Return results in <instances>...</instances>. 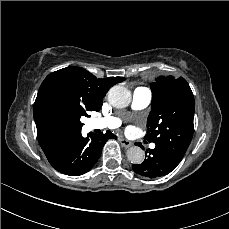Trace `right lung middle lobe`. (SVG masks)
Returning a JSON list of instances; mask_svg holds the SVG:
<instances>
[{"label":"right lung middle lobe","mask_w":229,"mask_h":229,"mask_svg":"<svg viewBox=\"0 0 229 229\" xmlns=\"http://www.w3.org/2000/svg\"><path fill=\"white\" fill-rule=\"evenodd\" d=\"M87 110L70 95L54 93L49 95L41 106L44 125L58 134H71L81 131V116L89 117Z\"/></svg>","instance_id":"obj_1"}]
</instances>
